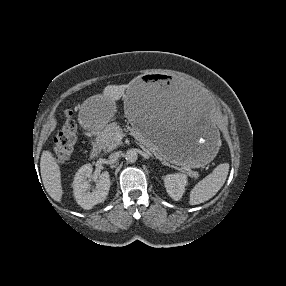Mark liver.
<instances>
[{
    "label": "liver",
    "instance_id": "obj_1",
    "mask_svg": "<svg viewBox=\"0 0 286 286\" xmlns=\"http://www.w3.org/2000/svg\"><path fill=\"white\" fill-rule=\"evenodd\" d=\"M128 88L129 85L109 86L104 89L100 97L115 104L121 97H124ZM40 172L46 192L53 200L61 202L63 195L61 171L51 151H43L40 159Z\"/></svg>",
    "mask_w": 286,
    "mask_h": 286
}]
</instances>
